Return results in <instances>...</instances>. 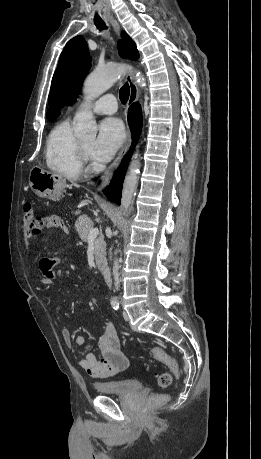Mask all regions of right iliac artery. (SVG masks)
<instances>
[{
    "mask_svg": "<svg viewBox=\"0 0 261 459\" xmlns=\"http://www.w3.org/2000/svg\"><path fill=\"white\" fill-rule=\"evenodd\" d=\"M111 305H112V307H113L114 310H118V308H119V301H118L117 299H113V300L111 301Z\"/></svg>",
    "mask_w": 261,
    "mask_h": 459,
    "instance_id": "82829eb1",
    "label": "right iliac artery"
}]
</instances>
